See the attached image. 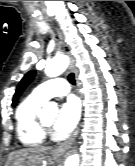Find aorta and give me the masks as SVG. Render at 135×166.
<instances>
[{"mask_svg": "<svg viewBox=\"0 0 135 166\" xmlns=\"http://www.w3.org/2000/svg\"><path fill=\"white\" fill-rule=\"evenodd\" d=\"M69 60L64 55H58L47 62L45 67V73L48 77H57L61 75L67 68ZM57 105L53 102H48L42 109V112H57ZM79 155L72 154L70 155L64 166H79Z\"/></svg>", "mask_w": 135, "mask_h": 166, "instance_id": "1", "label": "aorta"}]
</instances>
